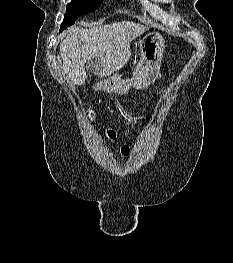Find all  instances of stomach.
Here are the masks:
<instances>
[{"label": "stomach", "mask_w": 233, "mask_h": 263, "mask_svg": "<svg viewBox=\"0 0 233 263\" xmlns=\"http://www.w3.org/2000/svg\"><path fill=\"white\" fill-rule=\"evenodd\" d=\"M164 48L165 41L159 33L145 35L139 42L141 59L136 65L133 78L106 77L97 88L107 91H137L149 86L159 75Z\"/></svg>", "instance_id": "obj_1"}]
</instances>
